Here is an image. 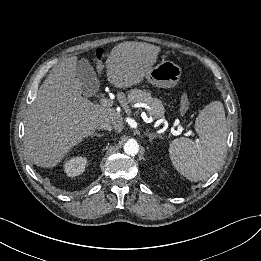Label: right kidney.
<instances>
[{
  "label": "right kidney",
  "mask_w": 261,
  "mask_h": 261,
  "mask_svg": "<svg viewBox=\"0 0 261 261\" xmlns=\"http://www.w3.org/2000/svg\"><path fill=\"white\" fill-rule=\"evenodd\" d=\"M87 165V158L76 156L67 160L64 164V171L69 177L80 175L84 172Z\"/></svg>",
  "instance_id": "ca27d5eb"
}]
</instances>
